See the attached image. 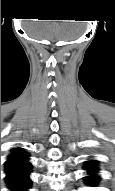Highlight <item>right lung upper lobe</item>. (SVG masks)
Masks as SVG:
<instances>
[{
    "label": "right lung upper lobe",
    "instance_id": "right-lung-upper-lobe-1",
    "mask_svg": "<svg viewBox=\"0 0 115 191\" xmlns=\"http://www.w3.org/2000/svg\"><path fill=\"white\" fill-rule=\"evenodd\" d=\"M29 154L23 152L20 148L13 149V153L8 156L5 163V172L26 171L31 169V164L28 161Z\"/></svg>",
    "mask_w": 115,
    "mask_h": 191
}]
</instances>
